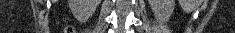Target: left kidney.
Listing matches in <instances>:
<instances>
[{
  "mask_svg": "<svg viewBox=\"0 0 235 33\" xmlns=\"http://www.w3.org/2000/svg\"><path fill=\"white\" fill-rule=\"evenodd\" d=\"M154 15L161 20H168L173 13L175 0H148Z\"/></svg>",
  "mask_w": 235,
  "mask_h": 33,
  "instance_id": "1",
  "label": "left kidney"
}]
</instances>
